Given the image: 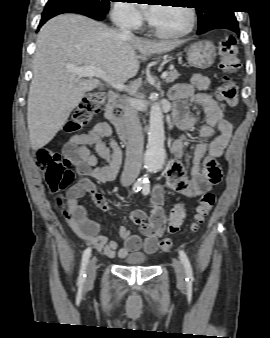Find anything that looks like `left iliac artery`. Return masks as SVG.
I'll return each mask as SVG.
<instances>
[{"instance_id":"1","label":"left iliac artery","mask_w":270,"mask_h":338,"mask_svg":"<svg viewBox=\"0 0 270 338\" xmlns=\"http://www.w3.org/2000/svg\"><path fill=\"white\" fill-rule=\"evenodd\" d=\"M149 192H150V182L147 181L142 186V193L144 195H148ZM179 257H180V260L182 261L184 268H185L186 281L193 280L192 267H191L189 258L187 256V254L184 252V250H179Z\"/></svg>"}]
</instances>
